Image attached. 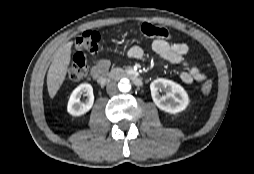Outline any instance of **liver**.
<instances>
[{"label": "liver", "mask_w": 254, "mask_h": 174, "mask_svg": "<svg viewBox=\"0 0 254 174\" xmlns=\"http://www.w3.org/2000/svg\"><path fill=\"white\" fill-rule=\"evenodd\" d=\"M73 41L59 47L56 51L47 74V89L49 96L54 98L63 84L71 59Z\"/></svg>", "instance_id": "6515ba94"}]
</instances>
